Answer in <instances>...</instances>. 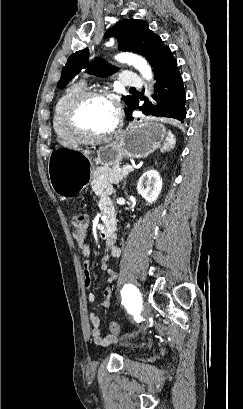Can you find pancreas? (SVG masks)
Returning <instances> with one entry per match:
<instances>
[{"label":"pancreas","instance_id":"cf45deb5","mask_svg":"<svg viewBox=\"0 0 243 409\" xmlns=\"http://www.w3.org/2000/svg\"><path fill=\"white\" fill-rule=\"evenodd\" d=\"M130 172L131 170H124L123 167L103 166L94 169L92 178L95 182L101 184H118L123 178H126Z\"/></svg>","mask_w":243,"mask_h":409}]
</instances>
